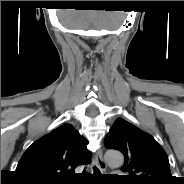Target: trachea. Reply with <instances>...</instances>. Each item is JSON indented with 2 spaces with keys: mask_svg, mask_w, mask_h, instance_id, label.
Here are the masks:
<instances>
[{
  "mask_svg": "<svg viewBox=\"0 0 184 184\" xmlns=\"http://www.w3.org/2000/svg\"><path fill=\"white\" fill-rule=\"evenodd\" d=\"M96 173H99V170L98 169H96Z\"/></svg>",
  "mask_w": 184,
  "mask_h": 184,
  "instance_id": "3493384b",
  "label": "trachea"
}]
</instances>
